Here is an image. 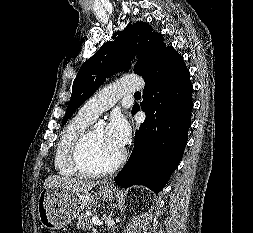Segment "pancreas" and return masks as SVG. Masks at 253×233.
Returning a JSON list of instances; mask_svg holds the SVG:
<instances>
[{
  "label": "pancreas",
  "mask_w": 253,
  "mask_h": 233,
  "mask_svg": "<svg viewBox=\"0 0 253 233\" xmlns=\"http://www.w3.org/2000/svg\"><path fill=\"white\" fill-rule=\"evenodd\" d=\"M91 213L87 214V213H81L78 216V222H77V226L78 228L82 229V230H87L90 228H94L92 220H91Z\"/></svg>",
  "instance_id": "pancreas-1"
}]
</instances>
